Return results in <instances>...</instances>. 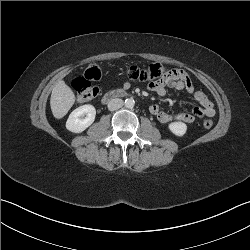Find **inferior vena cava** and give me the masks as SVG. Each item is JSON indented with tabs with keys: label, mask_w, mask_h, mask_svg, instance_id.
<instances>
[{
	"label": "inferior vena cava",
	"mask_w": 250,
	"mask_h": 250,
	"mask_svg": "<svg viewBox=\"0 0 250 250\" xmlns=\"http://www.w3.org/2000/svg\"><path fill=\"white\" fill-rule=\"evenodd\" d=\"M123 104H124V102L122 99L115 98V99H112L109 101L108 109L110 111H114V110L121 108L123 106Z\"/></svg>",
	"instance_id": "obj_1"
}]
</instances>
